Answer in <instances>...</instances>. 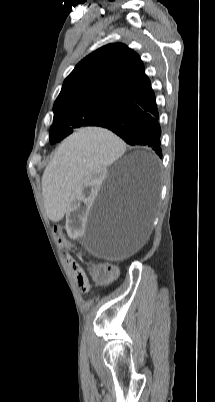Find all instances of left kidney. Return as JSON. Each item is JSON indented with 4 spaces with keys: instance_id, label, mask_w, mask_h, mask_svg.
Here are the masks:
<instances>
[{
    "instance_id": "left-kidney-1",
    "label": "left kidney",
    "mask_w": 215,
    "mask_h": 402,
    "mask_svg": "<svg viewBox=\"0 0 215 402\" xmlns=\"http://www.w3.org/2000/svg\"><path fill=\"white\" fill-rule=\"evenodd\" d=\"M107 172L105 169H98L93 175H89L84 179V184H80L79 191L72 193L71 202L68 205V218L66 230L69 232L68 237L70 240H82L85 237L84 219L85 212L90 209L93 200L96 199V193L101 191V180L105 178Z\"/></svg>"
}]
</instances>
